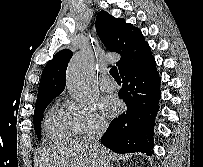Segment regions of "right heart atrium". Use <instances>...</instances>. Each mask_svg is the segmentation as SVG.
I'll return each mask as SVG.
<instances>
[{"label":"right heart atrium","mask_w":203,"mask_h":167,"mask_svg":"<svg viewBox=\"0 0 203 167\" xmlns=\"http://www.w3.org/2000/svg\"><path fill=\"white\" fill-rule=\"evenodd\" d=\"M64 112L74 135L81 136L107 127V121L97 112L92 102L67 100Z\"/></svg>","instance_id":"right-heart-atrium-1"}]
</instances>
